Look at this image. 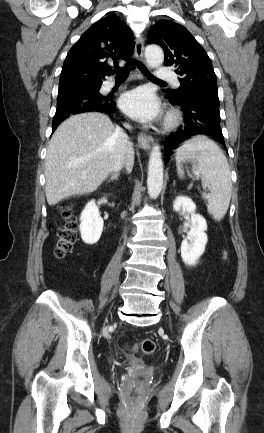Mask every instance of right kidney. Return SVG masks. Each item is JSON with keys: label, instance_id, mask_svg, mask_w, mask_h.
I'll use <instances>...</instances> for the list:
<instances>
[{"label": "right kidney", "instance_id": "1", "mask_svg": "<svg viewBox=\"0 0 264 433\" xmlns=\"http://www.w3.org/2000/svg\"><path fill=\"white\" fill-rule=\"evenodd\" d=\"M103 219L94 200L87 203L80 216L81 238L86 244H95L103 231Z\"/></svg>", "mask_w": 264, "mask_h": 433}]
</instances>
